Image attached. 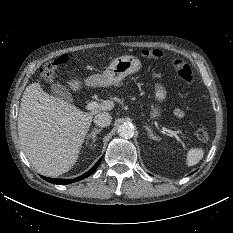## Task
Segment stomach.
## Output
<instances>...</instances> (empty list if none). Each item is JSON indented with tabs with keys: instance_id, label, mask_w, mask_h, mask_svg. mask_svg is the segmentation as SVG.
<instances>
[{
	"instance_id": "1",
	"label": "stomach",
	"mask_w": 233,
	"mask_h": 233,
	"mask_svg": "<svg viewBox=\"0 0 233 233\" xmlns=\"http://www.w3.org/2000/svg\"><path fill=\"white\" fill-rule=\"evenodd\" d=\"M140 69L141 62L137 57L132 55L120 56L114 59L103 73L88 77L86 80V84L102 87L115 85L118 84L126 76L134 74ZM154 96L157 102L162 103L167 96V91L165 87L161 84H156ZM160 113L161 109L158 105L151 107V118H158L160 116Z\"/></svg>"
}]
</instances>
